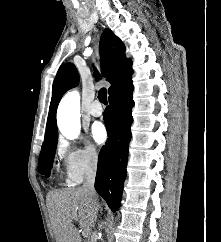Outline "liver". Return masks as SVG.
<instances>
[{
  "mask_svg": "<svg viewBox=\"0 0 221 242\" xmlns=\"http://www.w3.org/2000/svg\"><path fill=\"white\" fill-rule=\"evenodd\" d=\"M47 206L56 242H81L73 220L78 221L80 228L90 230L97 219L100 202L98 196L91 197L78 188L49 192Z\"/></svg>",
  "mask_w": 221,
  "mask_h": 242,
  "instance_id": "obj_1",
  "label": "liver"
}]
</instances>
